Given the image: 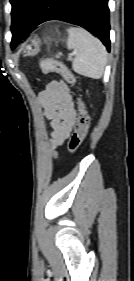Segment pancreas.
<instances>
[{"instance_id": "pancreas-1", "label": "pancreas", "mask_w": 134, "mask_h": 281, "mask_svg": "<svg viewBox=\"0 0 134 281\" xmlns=\"http://www.w3.org/2000/svg\"><path fill=\"white\" fill-rule=\"evenodd\" d=\"M68 60H71V57L69 56Z\"/></svg>"}]
</instances>
